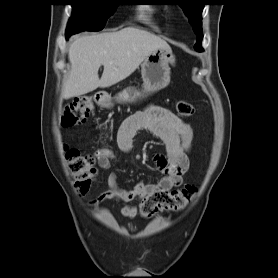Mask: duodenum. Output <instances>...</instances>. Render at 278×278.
<instances>
[{
	"label": "duodenum",
	"mask_w": 278,
	"mask_h": 278,
	"mask_svg": "<svg viewBox=\"0 0 278 278\" xmlns=\"http://www.w3.org/2000/svg\"><path fill=\"white\" fill-rule=\"evenodd\" d=\"M96 99H97V101H101L102 100V95L101 94H97L96 95Z\"/></svg>",
	"instance_id": "duodenum-1"
}]
</instances>
